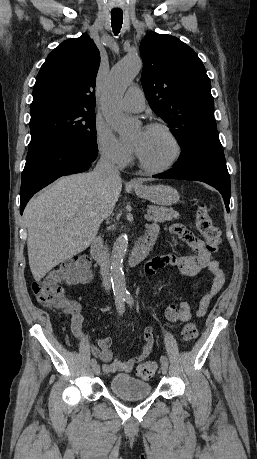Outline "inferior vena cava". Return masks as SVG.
Instances as JSON below:
<instances>
[{
  "mask_svg": "<svg viewBox=\"0 0 257 459\" xmlns=\"http://www.w3.org/2000/svg\"><path fill=\"white\" fill-rule=\"evenodd\" d=\"M93 175L102 186L114 185L120 180V172L115 165L112 155L103 152L97 165L93 171ZM98 264L100 266V275L102 278V285L106 291H110V254L107 245L99 247Z\"/></svg>",
  "mask_w": 257,
  "mask_h": 459,
  "instance_id": "602c4592",
  "label": "inferior vena cava"
}]
</instances>
